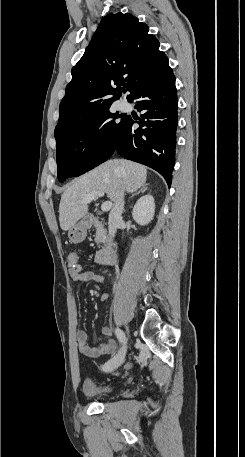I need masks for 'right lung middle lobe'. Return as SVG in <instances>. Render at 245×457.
<instances>
[{"label":"right lung middle lobe","mask_w":245,"mask_h":457,"mask_svg":"<svg viewBox=\"0 0 245 457\" xmlns=\"http://www.w3.org/2000/svg\"><path fill=\"white\" fill-rule=\"evenodd\" d=\"M110 106L55 129L60 182L84 174L114 153L124 116L111 113ZM115 118L122 119L116 122Z\"/></svg>","instance_id":"1"}]
</instances>
